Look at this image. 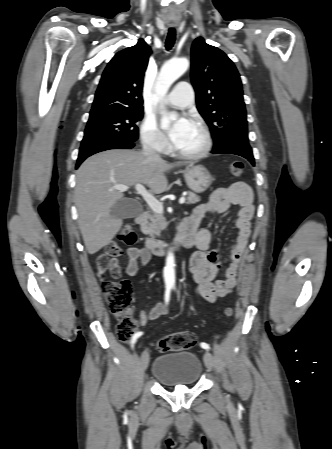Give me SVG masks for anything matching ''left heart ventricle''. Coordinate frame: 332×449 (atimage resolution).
<instances>
[{
	"label": "left heart ventricle",
	"instance_id": "obj_1",
	"mask_svg": "<svg viewBox=\"0 0 332 449\" xmlns=\"http://www.w3.org/2000/svg\"><path fill=\"white\" fill-rule=\"evenodd\" d=\"M203 145V135L200 129L191 124L188 130L184 133L181 140L175 145L179 150L185 152H195Z\"/></svg>",
	"mask_w": 332,
	"mask_h": 449
}]
</instances>
